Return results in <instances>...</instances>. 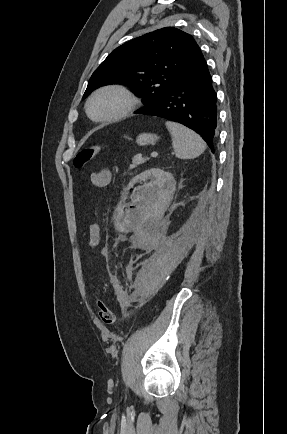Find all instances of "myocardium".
<instances>
[{"mask_svg": "<svg viewBox=\"0 0 287 434\" xmlns=\"http://www.w3.org/2000/svg\"><path fill=\"white\" fill-rule=\"evenodd\" d=\"M110 93H114L119 95L120 97H122L123 99V105L122 107L112 113V114H108L105 116H95L92 113V105L94 103V101L105 95V94H110ZM139 100L136 97V95L129 90L128 88L122 86V85H118V84H109V85H104L101 86L99 88H97L96 90H94L90 96L87 99L86 102V113L88 115V117L97 123H112V122H116V121H120L122 119H125L126 117H128L130 114H132L137 106H138Z\"/></svg>", "mask_w": 287, "mask_h": 434, "instance_id": "f54148a6", "label": "myocardium"}]
</instances>
